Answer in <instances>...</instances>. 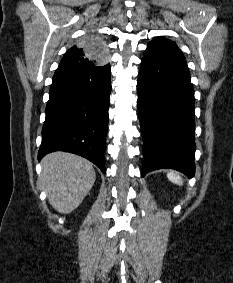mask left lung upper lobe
Returning a JSON list of instances; mask_svg holds the SVG:
<instances>
[{
    "instance_id": "1",
    "label": "left lung upper lobe",
    "mask_w": 233,
    "mask_h": 283,
    "mask_svg": "<svg viewBox=\"0 0 233 283\" xmlns=\"http://www.w3.org/2000/svg\"><path fill=\"white\" fill-rule=\"evenodd\" d=\"M158 44H173L176 45L173 41L167 40L165 38H158L151 41L148 45H158Z\"/></svg>"
}]
</instances>
